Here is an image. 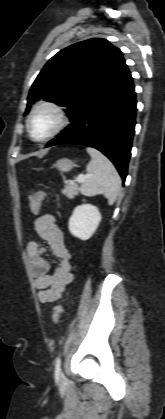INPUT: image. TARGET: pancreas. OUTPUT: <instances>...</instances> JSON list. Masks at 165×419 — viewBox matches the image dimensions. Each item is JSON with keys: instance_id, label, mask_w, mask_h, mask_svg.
Returning <instances> with one entry per match:
<instances>
[{"instance_id": "1", "label": "pancreas", "mask_w": 165, "mask_h": 419, "mask_svg": "<svg viewBox=\"0 0 165 419\" xmlns=\"http://www.w3.org/2000/svg\"><path fill=\"white\" fill-rule=\"evenodd\" d=\"M62 194L68 197L69 199H73L75 196L79 194V187L75 183L66 184L62 189Z\"/></svg>"}]
</instances>
